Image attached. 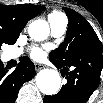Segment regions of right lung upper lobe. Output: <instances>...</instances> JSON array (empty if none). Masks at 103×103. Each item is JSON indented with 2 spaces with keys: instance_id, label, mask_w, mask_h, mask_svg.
<instances>
[{
  "instance_id": "obj_1",
  "label": "right lung upper lobe",
  "mask_w": 103,
  "mask_h": 103,
  "mask_svg": "<svg viewBox=\"0 0 103 103\" xmlns=\"http://www.w3.org/2000/svg\"><path fill=\"white\" fill-rule=\"evenodd\" d=\"M44 6L33 4L0 5V35L17 40L27 22L39 15Z\"/></svg>"
}]
</instances>
